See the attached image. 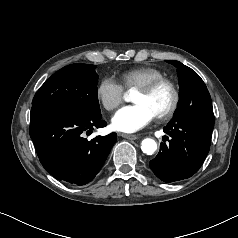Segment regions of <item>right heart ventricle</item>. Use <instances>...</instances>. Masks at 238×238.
<instances>
[{
    "label": "right heart ventricle",
    "instance_id": "right-heart-ventricle-1",
    "mask_svg": "<svg viewBox=\"0 0 238 238\" xmlns=\"http://www.w3.org/2000/svg\"><path fill=\"white\" fill-rule=\"evenodd\" d=\"M164 77V73L150 66H141L123 72L120 76L122 86L126 89H138L150 81Z\"/></svg>",
    "mask_w": 238,
    "mask_h": 238
}]
</instances>
